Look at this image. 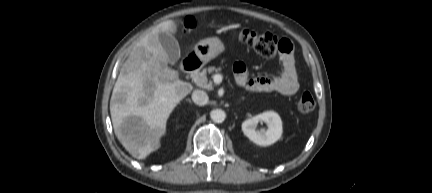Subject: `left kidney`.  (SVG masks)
<instances>
[{
    "label": "left kidney",
    "mask_w": 432,
    "mask_h": 193,
    "mask_svg": "<svg viewBox=\"0 0 432 193\" xmlns=\"http://www.w3.org/2000/svg\"><path fill=\"white\" fill-rule=\"evenodd\" d=\"M260 121L267 124V129L256 130ZM242 131L252 142L260 146H268L278 141L282 135V121L274 111H266L242 123Z\"/></svg>",
    "instance_id": "1"
}]
</instances>
